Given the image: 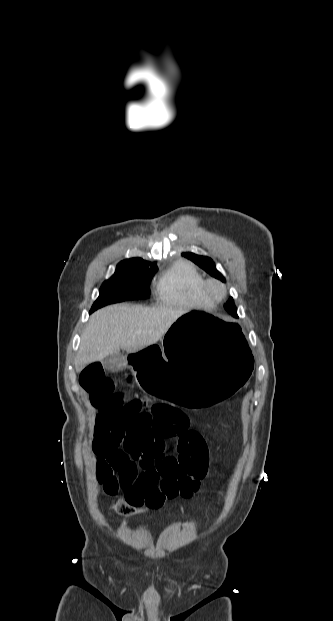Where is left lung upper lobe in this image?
Wrapping results in <instances>:
<instances>
[{
  "label": "left lung upper lobe",
  "instance_id": "left-lung-upper-lobe-1",
  "mask_svg": "<svg viewBox=\"0 0 333 621\" xmlns=\"http://www.w3.org/2000/svg\"><path fill=\"white\" fill-rule=\"evenodd\" d=\"M182 255L185 256L186 258L190 259L192 262H194L199 267H201L204 271L209 273L212 277H215V278L225 282V278L223 277V275L219 271H217V269H216V267L214 265V262L209 257L196 255V254L191 253V252H186V253H183ZM225 309L232 316L237 317V308L234 305V301H233L232 298H230L227 301V303L225 305Z\"/></svg>",
  "mask_w": 333,
  "mask_h": 621
}]
</instances>
